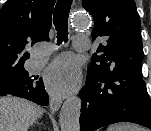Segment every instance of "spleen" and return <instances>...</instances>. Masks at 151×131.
<instances>
[{"instance_id":"obj_1","label":"spleen","mask_w":151,"mask_h":131,"mask_svg":"<svg viewBox=\"0 0 151 131\" xmlns=\"http://www.w3.org/2000/svg\"><path fill=\"white\" fill-rule=\"evenodd\" d=\"M107 131H144L137 125L123 123V124H114L107 128Z\"/></svg>"}]
</instances>
